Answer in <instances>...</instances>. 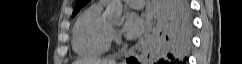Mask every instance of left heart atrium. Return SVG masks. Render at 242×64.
Listing matches in <instances>:
<instances>
[{"label":"left heart atrium","instance_id":"left-heart-atrium-1","mask_svg":"<svg viewBox=\"0 0 242 64\" xmlns=\"http://www.w3.org/2000/svg\"><path fill=\"white\" fill-rule=\"evenodd\" d=\"M124 33L129 38L140 36L144 30L143 19L134 12H127L124 19Z\"/></svg>","mask_w":242,"mask_h":64}]
</instances>
